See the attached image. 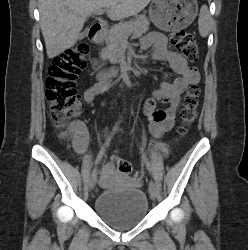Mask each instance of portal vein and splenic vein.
I'll return each mask as SVG.
<instances>
[{
    "mask_svg": "<svg viewBox=\"0 0 248 250\" xmlns=\"http://www.w3.org/2000/svg\"><path fill=\"white\" fill-rule=\"evenodd\" d=\"M103 13H104V10H102V9L95 11L96 15H102Z\"/></svg>",
    "mask_w": 248,
    "mask_h": 250,
    "instance_id": "1",
    "label": "portal vein and splenic vein"
}]
</instances>
